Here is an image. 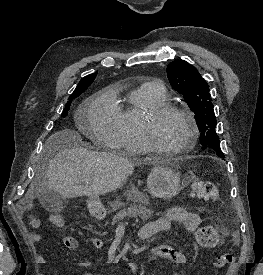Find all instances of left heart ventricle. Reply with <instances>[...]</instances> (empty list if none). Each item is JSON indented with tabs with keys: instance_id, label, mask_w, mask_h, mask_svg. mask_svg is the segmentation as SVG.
Wrapping results in <instances>:
<instances>
[{
	"instance_id": "left-heart-ventricle-1",
	"label": "left heart ventricle",
	"mask_w": 263,
	"mask_h": 275,
	"mask_svg": "<svg viewBox=\"0 0 263 275\" xmlns=\"http://www.w3.org/2000/svg\"><path fill=\"white\" fill-rule=\"evenodd\" d=\"M153 138L164 149H176L183 145L189 134V125L185 118L171 114L154 122Z\"/></svg>"
}]
</instances>
